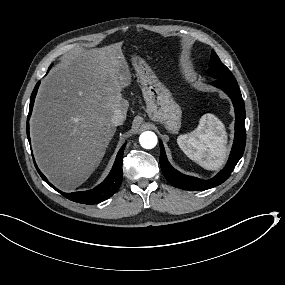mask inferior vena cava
<instances>
[{"mask_svg": "<svg viewBox=\"0 0 285 285\" xmlns=\"http://www.w3.org/2000/svg\"><path fill=\"white\" fill-rule=\"evenodd\" d=\"M125 118L126 115L121 110H116L111 118V121L115 126H117L121 125Z\"/></svg>", "mask_w": 285, "mask_h": 285, "instance_id": "obj_1", "label": "inferior vena cava"}]
</instances>
